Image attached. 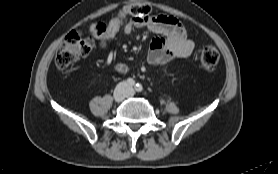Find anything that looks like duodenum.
<instances>
[{
	"label": "duodenum",
	"instance_id": "obj_1",
	"mask_svg": "<svg viewBox=\"0 0 278 174\" xmlns=\"http://www.w3.org/2000/svg\"><path fill=\"white\" fill-rule=\"evenodd\" d=\"M118 69L121 70V71H123V70L125 69V67H124L123 65H119V66H118Z\"/></svg>",
	"mask_w": 278,
	"mask_h": 174
}]
</instances>
